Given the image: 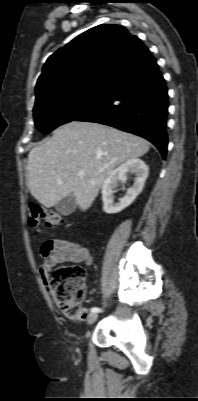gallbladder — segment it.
I'll return each mask as SVG.
<instances>
[{"label":"gallbladder","mask_w":198,"mask_h":401,"mask_svg":"<svg viewBox=\"0 0 198 401\" xmlns=\"http://www.w3.org/2000/svg\"><path fill=\"white\" fill-rule=\"evenodd\" d=\"M76 198L73 194L61 199L56 205L55 209L61 215L67 216L71 214L76 208Z\"/></svg>","instance_id":"bac80fb5"}]
</instances>
